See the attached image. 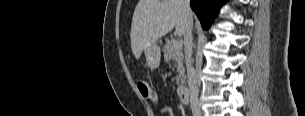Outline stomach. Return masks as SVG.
Instances as JSON below:
<instances>
[{"label": "stomach", "mask_w": 305, "mask_h": 116, "mask_svg": "<svg viewBox=\"0 0 305 116\" xmlns=\"http://www.w3.org/2000/svg\"><path fill=\"white\" fill-rule=\"evenodd\" d=\"M144 54L146 58V63L149 68L156 69L159 67L161 59L160 47L153 43L144 49Z\"/></svg>", "instance_id": "1"}]
</instances>
